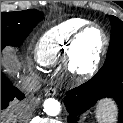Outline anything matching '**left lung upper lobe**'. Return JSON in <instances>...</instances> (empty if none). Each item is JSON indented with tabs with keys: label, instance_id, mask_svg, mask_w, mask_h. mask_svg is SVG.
Returning <instances> with one entry per match:
<instances>
[{
	"label": "left lung upper lobe",
	"instance_id": "left-lung-upper-lobe-1",
	"mask_svg": "<svg viewBox=\"0 0 123 123\" xmlns=\"http://www.w3.org/2000/svg\"><path fill=\"white\" fill-rule=\"evenodd\" d=\"M109 18L112 26L111 38L107 58L101 69L113 74L123 70V22L113 15H110Z\"/></svg>",
	"mask_w": 123,
	"mask_h": 123
}]
</instances>
